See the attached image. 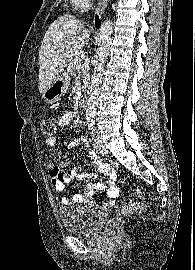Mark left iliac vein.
I'll use <instances>...</instances> for the list:
<instances>
[{
    "label": "left iliac vein",
    "instance_id": "1",
    "mask_svg": "<svg viewBox=\"0 0 195 270\" xmlns=\"http://www.w3.org/2000/svg\"><path fill=\"white\" fill-rule=\"evenodd\" d=\"M94 144H95V147H96L97 151L99 152V154H101L102 156H104V155L106 156L108 154V150L103 146L99 137L95 138Z\"/></svg>",
    "mask_w": 195,
    "mask_h": 270
}]
</instances>
